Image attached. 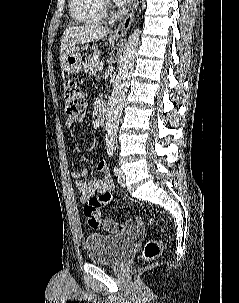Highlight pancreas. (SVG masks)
I'll use <instances>...</instances> for the list:
<instances>
[{"instance_id":"pancreas-1","label":"pancreas","mask_w":239,"mask_h":303,"mask_svg":"<svg viewBox=\"0 0 239 303\" xmlns=\"http://www.w3.org/2000/svg\"><path fill=\"white\" fill-rule=\"evenodd\" d=\"M101 51H94L85 61L84 70L88 74L96 75L98 64L100 63Z\"/></svg>"}]
</instances>
